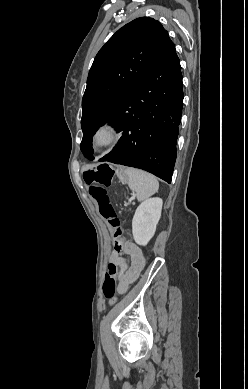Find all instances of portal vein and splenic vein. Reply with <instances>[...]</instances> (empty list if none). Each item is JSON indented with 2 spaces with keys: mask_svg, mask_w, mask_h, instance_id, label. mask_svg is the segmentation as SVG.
<instances>
[{
  "mask_svg": "<svg viewBox=\"0 0 248 389\" xmlns=\"http://www.w3.org/2000/svg\"><path fill=\"white\" fill-rule=\"evenodd\" d=\"M132 197L134 198V197H135V195L133 194V195H132Z\"/></svg>",
  "mask_w": 248,
  "mask_h": 389,
  "instance_id": "18ae733b",
  "label": "portal vein and splenic vein"
}]
</instances>
